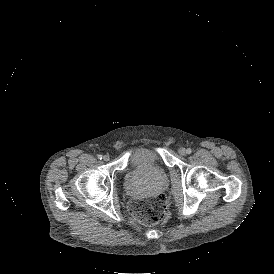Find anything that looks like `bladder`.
<instances>
[{
    "instance_id": "obj_1",
    "label": "bladder",
    "mask_w": 274,
    "mask_h": 274,
    "mask_svg": "<svg viewBox=\"0 0 274 274\" xmlns=\"http://www.w3.org/2000/svg\"><path fill=\"white\" fill-rule=\"evenodd\" d=\"M157 151L152 147H137L131 151V162L128 167L141 165L143 161L150 159Z\"/></svg>"
}]
</instances>
